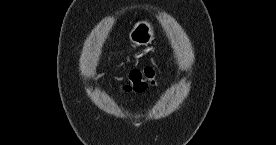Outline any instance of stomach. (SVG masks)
<instances>
[{"label": "stomach", "instance_id": "stomach-1", "mask_svg": "<svg viewBox=\"0 0 276 145\" xmlns=\"http://www.w3.org/2000/svg\"><path fill=\"white\" fill-rule=\"evenodd\" d=\"M130 41L136 45H147L154 39V31L147 20L137 22L129 34Z\"/></svg>", "mask_w": 276, "mask_h": 145}]
</instances>
